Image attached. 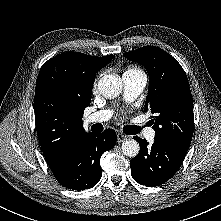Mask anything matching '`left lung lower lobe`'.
<instances>
[{
	"label": "left lung lower lobe",
	"instance_id": "left-lung-lower-lobe-1",
	"mask_svg": "<svg viewBox=\"0 0 221 221\" xmlns=\"http://www.w3.org/2000/svg\"><path fill=\"white\" fill-rule=\"evenodd\" d=\"M140 144V152L130 161L131 175L140 184L153 187L164 184L180 168L188 149L155 140L148 146L145 139L133 137Z\"/></svg>",
	"mask_w": 221,
	"mask_h": 221
}]
</instances>
